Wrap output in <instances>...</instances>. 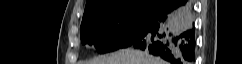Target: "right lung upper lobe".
Here are the masks:
<instances>
[{"label": "right lung upper lobe", "instance_id": "obj_1", "mask_svg": "<svg viewBox=\"0 0 242 64\" xmlns=\"http://www.w3.org/2000/svg\"><path fill=\"white\" fill-rule=\"evenodd\" d=\"M165 0H87L82 22L95 16L125 11L135 8H147L159 11Z\"/></svg>", "mask_w": 242, "mask_h": 64}]
</instances>
